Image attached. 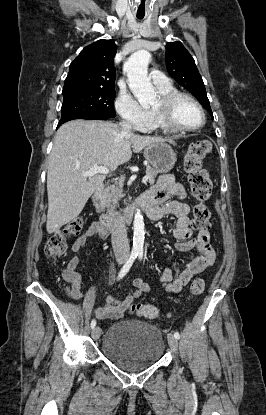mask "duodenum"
Masks as SVG:
<instances>
[{
	"label": "duodenum",
	"mask_w": 266,
	"mask_h": 415,
	"mask_svg": "<svg viewBox=\"0 0 266 415\" xmlns=\"http://www.w3.org/2000/svg\"><path fill=\"white\" fill-rule=\"evenodd\" d=\"M103 192V185L99 184L95 188L94 197L98 199ZM147 211V207L144 203L138 201L132 206H130L122 215L118 213H106L102 214L100 217L101 225L106 230H111L119 226L122 220L127 224L131 223L137 211Z\"/></svg>",
	"instance_id": "duodenum-1"
}]
</instances>
